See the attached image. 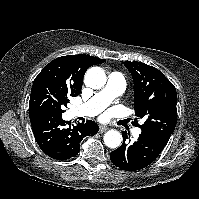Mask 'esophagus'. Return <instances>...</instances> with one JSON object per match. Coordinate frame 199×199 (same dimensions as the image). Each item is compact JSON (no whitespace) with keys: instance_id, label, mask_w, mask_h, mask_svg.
<instances>
[{"instance_id":"34e87169","label":"esophagus","mask_w":199,"mask_h":199,"mask_svg":"<svg viewBox=\"0 0 199 199\" xmlns=\"http://www.w3.org/2000/svg\"><path fill=\"white\" fill-rule=\"evenodd\" d=\"M109 128L107 127V126H100L99 127V132L100 133H103V132H105V131H107Z\"/></svg>"}]
</instances>
